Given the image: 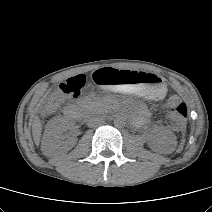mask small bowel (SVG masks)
<instances>
[{"label":"small bowel","mask_w":212,"mask_h":212,"mask_svg":"<svg viewBox=\"0 0 212 212\" xmlns=\"http://www.w3.org/2000/svg\"><path fill=\"white\" fill-rule=\"evenodd\" d=\"M145 114H146V113L143 111L141 115H142V116H145Z\"/></svg>","instance_id":"small-bowel-1"}]
</instances>
